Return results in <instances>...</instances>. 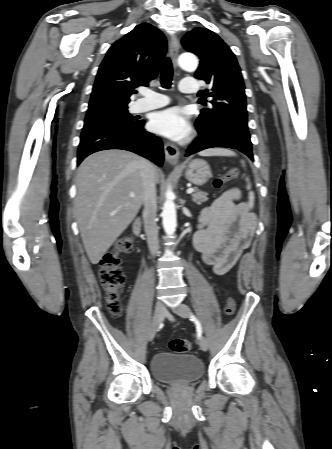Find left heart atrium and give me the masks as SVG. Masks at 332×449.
<instances>
[{
	"mask_svg": "<svg viewBox=\"0 0 332 449\" xmlns=\"http://www.w3.org/2000/svg\"><path fill=\"white\" fill-rule=\"evenodd\" d=\"M150 129L171 139H182L189 133V125L177 108L155 113L150 120Z\"/></svg>",
	"mask_w": 332,
	"mask_h": 449,
	"instance_id": "1",
	"label": "left heart atrium"
}]
</instances>
